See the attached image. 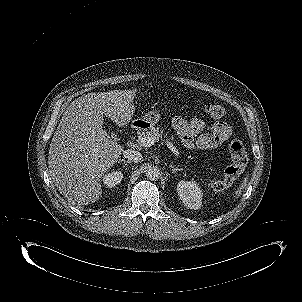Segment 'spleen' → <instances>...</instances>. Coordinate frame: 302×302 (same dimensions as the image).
Returning <instances> with one entry per match:
<instances>
[{"mask_svg":"<svg viewBox=\"0 0 302 302\" xmlns=\"http://www.w3.org/2000/svg\"><path fill=\"white\" fill-rule=\"evenodd\" d=\"M246 184V180L244 181V184L242 185L241 189H243L245 187ZM241 194V191H239L238 195Z\"/></svg>","mask_w":302,"mask_h":302,"instance_id":"3e777b00","label":"spleen"}]
</instances>
